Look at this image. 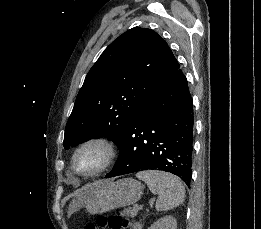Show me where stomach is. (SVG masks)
I'll use <instances>...</instances> for the list:
<instances>
[{
  "mask_svg": "<svg viewBox=\"0 0 261 229\" xmlns=\"http://www.w3.org/2000/svg\"><path fill=\"white\" fill-rule=\"evenodd\" d=\"M87 213L102 215L119 207H128L140 201L143 185L135 179H119V181H95L86 187Z\"/></svg>",
  "mask_w": 261,
  "mask_h": 229,
  "instance_id": "stomach-1",
  "label": "stomach"
}]
</instances>
